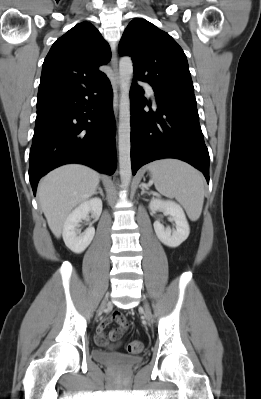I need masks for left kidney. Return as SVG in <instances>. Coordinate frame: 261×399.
I'll use <instances>...</instances> for the list:
<instances>
[{"mask_svg":"<svg viewBox=\"0 0 261 399\" xmlns=\"http://www.w3.org/2000/svg\"><path fill=\"white\" fill-rule=\"evenodd\" d=\"M149 207L152 210H161L165 215H169L175 222L176 229L165 228L159 221H155L153 226L158 239L166 246L175 248L184 242L190 233L188 221L182 207L171 200L151 199Z\"/></svg>","mask_w":261,"mask_h":399,"instance_id":"obj_1","label":"left kidney"}]
</instances>
